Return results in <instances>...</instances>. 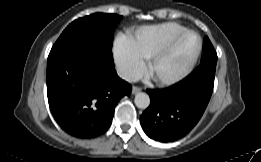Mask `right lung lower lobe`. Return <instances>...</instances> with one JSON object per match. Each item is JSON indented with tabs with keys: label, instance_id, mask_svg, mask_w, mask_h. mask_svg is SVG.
<instances>
[{
	"label": "right lung lower lobe",
	"instance_id": "obj_1",
	"mask_svg": "<svg viewBox=\"0 0 261 162\" xmlns=\"http://www.w3.org/2000/svg\"><path fill=\"white\" fill-rule=\"evenodd\" d=\"M132 87L118 77L111 47L96 41L53 46L47 61V96L61 128L93 138L111 125L118 101Z\"/></svg>",
	"mask_w": 261,
	"mask_h": 162
}]
</instances>
